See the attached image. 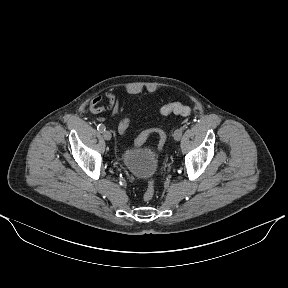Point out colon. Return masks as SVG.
<instances>
[{
    "mask_svg": "<svg viewBox=\"0 0 288 288\" xmlns=\"http://www.w3.org/2000/svg\"><path fill=\"white\" fill-rule=\"evenodd\" d=\"M174 113L176 115L180 116H187L192 113V109L189 106L183 105L179 102L170 103L168 105L163 106L160 109L161 115H168ZM131 119L130 118H124L120 124L119 130H121L123 133L126 132L128 129V126L130 124ZM156 135L158 138V151H161L164 147V144L166 142V134L165 132L160 128H150L145 131H143L136 139L135 145L140 146L143 144L146 139L151 136ZM155 195V185L152 180H150L147 184L146 190L143 194V199L146 202H149L153 199Z\"/></svg>",
    "mask_w": 288,
    "mask_h": 288,
    "instance_id": "5ec220e1",
    "label": "colon"
}]
</instances>
